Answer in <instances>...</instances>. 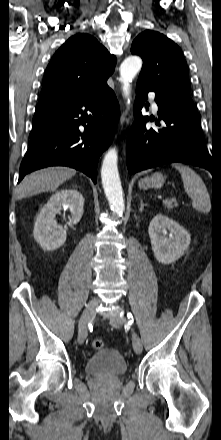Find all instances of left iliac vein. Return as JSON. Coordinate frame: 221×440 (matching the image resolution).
I'll return each instance as SVG.
<instances>
[{
  "label": "left iliac vein",
  "instance_id": "obj_1",
  "mask_svg": "<svg viewBox=\"0 0 221 440\" xmlns=\"http://www.w3.org/2000/svg\"><path fill=\"white\" fill-rule=\"evenodd\" d=\"M124 322H125V318L122 317L119 313H116V314H114V315H112L110 317L111 325L116 327V328L121 327ZM132 343H133L134 351L137 354H140L142 352V349H143L142 341H141L140 337L138 336V334L135 333V332H133V334H132Z\"/></svg>",
  "mask_w": 221,
  "mask_h": 440
}]
</instances>
